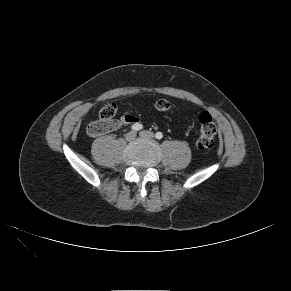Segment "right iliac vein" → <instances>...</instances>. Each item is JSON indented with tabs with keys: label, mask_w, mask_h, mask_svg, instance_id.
I'll list each match as a JSON object with an SVG mask.
<instances>
[{
	"label": "right iliac vein",
	"mask_w": 291,
	"mask_h": 291,
	"mask_svg": "<svg viewBox=\"0 0 291 291\" xmlns=\"http://www.w3.org/2000/svg\"><path fill=\"white\" fill-rule=\"evenodd\" d=\"M136 137V133L134 131H131V132H128L126 135H125V139L127 141H132L134 140Z\"/></svg>",
	"instance_id": "63e3f726"
}]
</instances>
